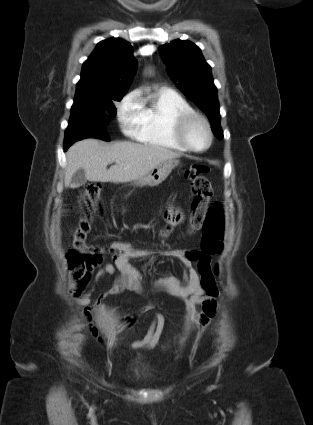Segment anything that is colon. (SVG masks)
I'll return each mask as SVG.
<instances>
[{
    "mask_svg": "<svg viewBox=\"0 0 313 425\" xmlns=\"http://www.w3.org/2000/svg\"><path fill=\"white\" fill-rule=\"evenodd\" d=\"M210 169L206 165L195 164L185 171L194 195L191 203V217L189 231L202 229L203 238L199 249H190L186 257L195 264L200 274L201 286L204 295L217 299L220 295L216 283L217 269L211 267V255L223 250L225 221L219 203L208 207L213 195V187L205 176ZM99 183L87 184L82 193L83 203L90 209L88 214L81 216L72 230L71 249L68 253V264L75 280H80L88 274L98 256L104 251L102 248L87 243V236L91 229L92 211L99 209L102 193Z\"/></svg>",
    "mask_w": 313,
    "mask_h": 425,
    "instance_id": "obj_1",
    "label": "colon"
}]
</instances>
